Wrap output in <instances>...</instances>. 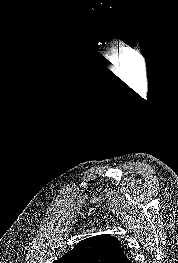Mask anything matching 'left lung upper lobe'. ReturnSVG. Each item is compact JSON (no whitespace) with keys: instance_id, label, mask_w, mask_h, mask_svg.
Wrapping results in <instances>:
<instances>
[{"instance_id":"obj_1","label":"left lung upper lobe","mask_w":178,"mask_h":263,"mask_svg":"<svg viewBox=\"0 0 178 263\" xmlns=\"http://www.w3.org/2000/svg\"><path fill=\"white\" fill-rule=\"evenodd\" d=\"M122 252L121 242L110 234L86 238L53 263H110Z\"/></svg>"}]
</instances>
